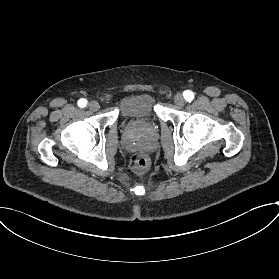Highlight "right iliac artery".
Masks as SVG:
<instances>
[{
  "mask_svg": "<svg viewBox=\"0 0 279 279\" xmlns=\"http://www.w3.org/2000/svg\"><path fill=\"white\" fill-rule=\"evenodd\" d=\"M77 104H78V106H79L80 108H84V107H86V105H87V100L84 99V98L79 99Z\"/></svg>",
  "mask_w": 279,
  "mask_h": 279,
  "instance_id": "right-iliac-artery-1",
  "label": "right iliac artery"
}]
</instances>
